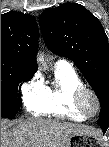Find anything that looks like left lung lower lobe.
I'll return each mask as SVG.
<instances>
[{
	"label": "left lung lower lobe",
	"mask_w": 109,
	"mask_h": 147,
	"mask_svg": "<svg viewBox=\"0 0 109 147\" xmlns=\"http://www.w3.org/2000/svg\"><path fill=\"white\" fill-rule=\"evenodd\" d=\"M108 126H109V125H108ZM108 126H100V127L102 128V130H103V133H105V132L107 131Z\"/></svg>",
	"instance_id": "left-lung-lower-lobe-1"
}]
</instances>
